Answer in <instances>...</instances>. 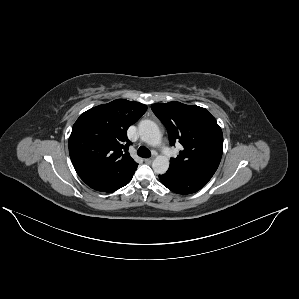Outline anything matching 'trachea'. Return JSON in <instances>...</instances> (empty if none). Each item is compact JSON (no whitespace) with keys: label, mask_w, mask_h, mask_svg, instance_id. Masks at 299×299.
Masks as SVG:
<instances>
[{"label":"trachea","mask_w":299,"mask_h":299,"mask_svg":"<svg viewBox=\"0 0 299 299\" xmlns=\"http://www.w3.org/2000/svg\"><path fill=\"white\" fill-rule=\"evenodd\" d=\"M137 153L142 158H149L151 156V152L144 146L139 147Z\"/></svg>","instance_id":"1"}]
</instances>
